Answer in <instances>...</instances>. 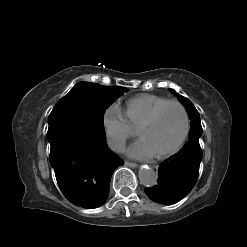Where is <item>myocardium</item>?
I'll use <instances>...</instances> for the list:
<instances>
[{
	"instance_id": "obj_1",
	"label": "myocardium",
	"mask_w": 247,
	"mask_h": 247,
	"mask_svg": "<svg viewBox=\"0 0 247 247\" xmlns=\"http://www.w3.org/2000/svg\"><path fill=\"white\" fill-rule=\"evenodd\" d=\"M172 105L177 106L182 113L183 121H184L183 132H182L180 138L178 139V141L171 148H169L163 152L155 154V156L159 159L166 158V157L176 153L181 148V146L184 144L185 140L188 137L189 130H190V119H189V115H188V112H187V109L185 108V106L177 100H168V101L164 102L163 104L159 105L158 107H156L153 110V112L137 128V132H138L139 130L152 125L155 122V120L157 119V117L160 115V113L166 107L172 106Z\"/></svg>"
}]
</instances>
